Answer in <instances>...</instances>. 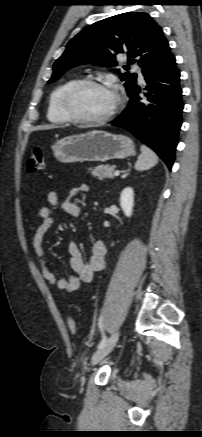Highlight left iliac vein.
<instances>
[{"mask_svg": "<svg viewBox=\"0 0 202 437\" xmlns=\"http://www.w3.org/2000/svg\"><path fill=\"white\" fill-rule=\"evenodd\" d=\"M119 338V333L115 332L113 333L110 338L107 340L106 344L98 349L91 358V364L96 365L99 363L103 358H105L115 347L117 341Z\"/></svg>", "mask_w": 202, "mask_h": 437, "instance_id": "obj_1", "label": "left iliac vein"}]
</instances>
